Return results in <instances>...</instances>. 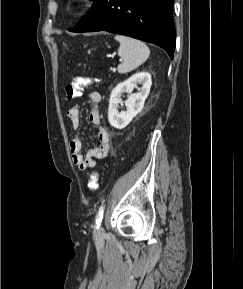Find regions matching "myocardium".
<instances>
[{
  "instance_id": "f54148a6",
  "label": "myocardium",
  "mask_w": 243,
  "mask_h": 289,
  "mask_svg": "<svg viewBox=\"0 0 243 289\" xmlns=\"http://www.w3.org/2000/svg\"><path fill=\"white\" fill-rule=\"evenodd\" d=\"M90 4V0H75L74 7L78 10L85 9Z\"/></svg>"
}]
</instances>
